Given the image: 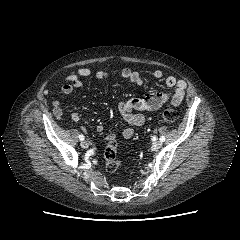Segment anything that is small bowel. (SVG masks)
Masks as SVG:
<instances>
[{
    "mask_svg": "<svg viewBox=\"0 0 240 240\" xmlns=\"http://www.w3.org/2000/svg\"><path fill=\"white\" fill-rule=\"evenodd\" d=\"M93 75L99 80L107 79L110 76L107 71L102 70L93 73L90 69L85 67L74 69L64 78V84L61 88L62 93H73L82 86V78H89ZM120 75L123 79L135 85H141L144 80L140 72L130 68L122 69ZM153 77L160 80L164 77V74L161 70H155L153 72ZM165 83L168 87L175 89L171 95L163 92H153L144 97L132 98L117 103V109L127 124L134 127H142L145 124V116L141 112L158 110L166 103H170L174 107H178L182 103L187 83L174 76L166 77ZM52 110L56 117H61L63 114L61 104L58 100L52 102ZM71 119L76 123H80L81 121L80 115L76 112L71 114ZM82 129L86 130L85 126L82 125ZM96 131L99 133L103 132L104 125L98 124L96 126ZM133 134L134 130L132 127H126L122 130V136L125 139L131 138ZM107 139H115V135L109 134Z\"/></svg>",
    "mask_w": 240,
    "mask_h": 240,
    "instance_id": "small-bowel-1",
    "label": "small bowel"
}]
</instances>
